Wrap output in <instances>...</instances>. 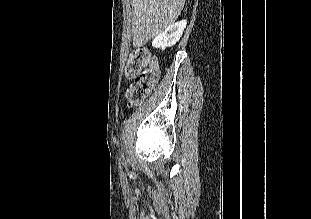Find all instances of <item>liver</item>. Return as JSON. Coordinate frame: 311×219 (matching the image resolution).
<instances>
[{"mask_svg": "<svg viewBox=\"0 0 311 219\" xmlns=\"http://www.w3.org/2000/svg\"><path fill=\"white\" fill-rule=\"evenodd\" d=\"M186 0H132L133 46L140 47L172 25Z\"/></svg>", "mask_w": 311, "mask_h": 219, "instance_id": "6515ba94", "label": "liver"}]
</instances>
